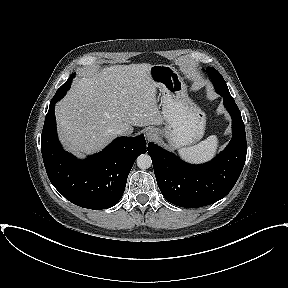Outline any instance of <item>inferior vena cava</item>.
Here are the masks:
<instances>
[{
	"label": "inferior vena cava",
	"mask_w": 288,
	"mask_h": 288,
	"mask_svg": "<svg viewBox=\"0 0 288 288\" xmlns=\"http://www.w3.org/2000/svg\"><path fill=\"white\" fill-rule=\"evenodd\" d=\"M117 135H127L126 131L123 128H118L115 130Z\"/></svg>",
	"instance_id": "obj_1"
}]
</instances>
